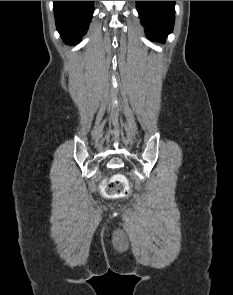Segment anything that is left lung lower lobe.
<instances>
[{"label":"left lung lower lobe","mask_w":233,"mask_h":295,"mask_svg":"<svg viewBox=\"0 0 233 295\" xmlns=\"http://www.w3.org/2000/svg\"><path fill=\"white\" fill-rule=\"evenodd\" d=\"M175 1H136L141 23L152 41L165 42L175 20Z\"/></svg>","instance_id":"obj_1"}]
</instances>
